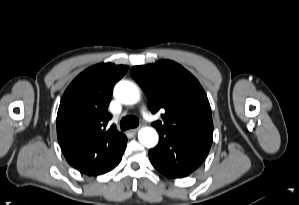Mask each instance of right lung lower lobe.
Here are the masks:
<instances>
[{
    "label": "right lung lower lobe",
    "mask_w": 299,
    "mask_h": 205,
    "mask_svg": "<svg viewBox=\"0 0 299 205\" xmlns=\"http://www.w3.org/2000/svg\"><path fill=\"white\" fill-rule=\"evenodd\" d=\"M126 144H127V139L125 141V144H124L123 148L117 154V156L106 167H104L100 172H98L95 175H100V174L106 173V172L112 170L113 168H115L120 163V161L122 159V155H123V152L126 148Z\"/></svg>",
    "instance_id": "98d812e1"
}]
</instances>
